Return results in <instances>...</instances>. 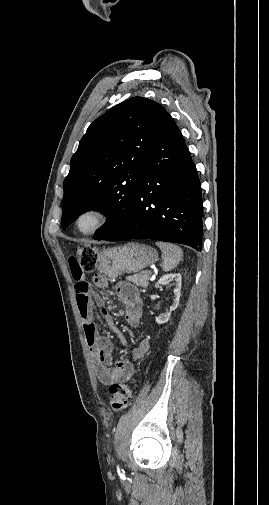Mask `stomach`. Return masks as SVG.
Instances as JSON below:
<instances>
[{
    "label": "stomach",
    "instance_id": "stomach-1",
    "mask_svg": "<svg viewBox=\"0 0 269 505\" xmlns=\"http://www.w3.org/2000/svg\"><path fill=\"white\" fill-rule=\"evenodd\" d=\"M158 260L151 246L130 242L123 246L104 249L99 257L100 271L110 279L124 273H137Z\"/></svg>",
    "mask_w": 269,
    "mask_h": 505
}]
</instances>
